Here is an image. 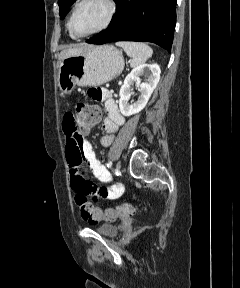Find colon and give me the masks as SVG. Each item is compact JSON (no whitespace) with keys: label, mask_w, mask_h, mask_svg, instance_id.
Instances as JSON below:
<instances>
[{"label":"colon","mask_w":240,"mask_h":288,"mask_svg":"<svg viewBox=\"0 0 240 288\" xmlns=\"http://www.w3.org/2000/svg\"><path fill=\"white\" fill-rule=\"evenodd\" d=\"M100 108L95 105L78 103L73 112V118L77 126L82 129L93 128L99 121ZM75 202L83 219L89 222L101 220L114 221L117 218H128L135 214L137 208L130 203H123L116 207L102 210L96 207L84 194H76Z\"/></svg>","instance_id":"1"}]
</instances>
